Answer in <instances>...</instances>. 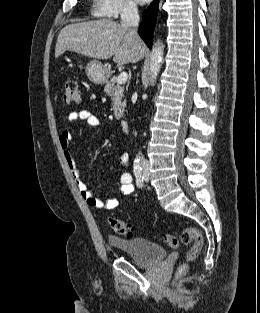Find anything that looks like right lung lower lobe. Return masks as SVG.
<instances>
[{
    "label": "right lung lower lobe",
    "instance_id": "98d812e1",
    "mask_svg": "<svg viewBox=\"0 0 260 313\" xmlns=\"http://www.w3.org/2000/svg\"><path fill=\"white\" fill-rule=\"evenodd\" d=\"M158 13V0H154L143 12V18L139 27V35L149 48H151L156 17Z\"/></svg>",
    "mask_w": 260,
    "mask_h": 313
}]
</instances>
